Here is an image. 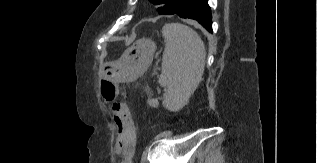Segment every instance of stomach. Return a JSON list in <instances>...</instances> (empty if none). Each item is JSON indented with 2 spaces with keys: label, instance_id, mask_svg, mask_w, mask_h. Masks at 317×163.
I'll list each match as a JSON object with an SVG mask.
<instances>
[{
  "label": "stomach",
  "instance_id": "stomach-1",
  "mask_svg": "<svg viewBox=\"0 0 317 163\" xmlns=\"http://www.w3.org/2000/svg\"><path fill=\"white\" fill-rule=\"evenodd\" d=\"M155 43L141 39L125 50L115 62H107L100 68V76L115 81H130L139 77L151 64Z\"/></svg>",
  "mask_w": 317,
  "mask_h": 163
}]
</instances>
